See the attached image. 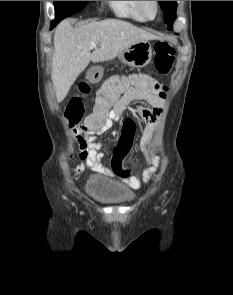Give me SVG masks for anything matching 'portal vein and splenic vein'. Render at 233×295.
<instances>
[{
	"label": "portal vein and splenic vein",
	"instance_id": "1",
	"mask_svg": "<svg viewBox=\"0 0 233 295\" xmlns=\"http://www.w3.org/2000/svg\"><path fill=\"white\" fill-rule=\"evenodd\" d=\"M96 47H97L96 42H91V43H90V48H96Z\"/></svg>",
	"mask_w": 233,
	"mask_h": 295
}]
</instances>
